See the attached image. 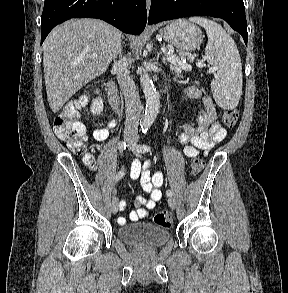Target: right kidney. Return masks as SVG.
<instances>
[{
    "mask_svg": "<svg viewBox=\"0 0 288 293\" xmlns=\"http://www.w3.org/2000/svg\"><path fill=\"white\" fill-rule=\"evenodd\" d=\"M103 111V100L98 97L93 100L91 105V112L94 116L100 115Z\"/></svg>",
    "mask_w": 288,
    "mask_h": 293,
    "instance_id": "right-kidney-1",
    "label": "right kidney"
}]
</instances>
